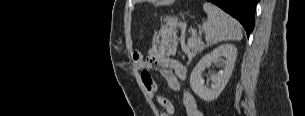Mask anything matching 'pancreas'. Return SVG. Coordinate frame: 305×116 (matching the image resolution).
<instances>
[{"label": "pancreas", "mask_w": 305, "mask_h": 116, "mask_svg": "<svg viewBox=\"0 0 305 116\" xmlns=\"http://www.w3.org/2000/svg\"><path fill=\"white\" fill-rule=\"evenodd\" d=\"M205 44L201 37L192 36L188 39L187 44L182 46L183 52L189 57L193 58L195 55L203 51Z\"/></svg>", "instance_id": "cf45deb5"}]
</instances>
